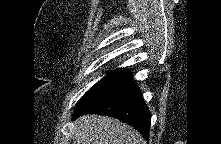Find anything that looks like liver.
<instances>
[{"mask_svg": "<svg viewBox=\"0 0 221 144\" xmlns=\"http://www.w3.org/2000/svg\"><path fill=\"white\" fill-rule=\"evenodd\" d=\"M72 135L74 144H145L132 127L101 115L79 117L74 122Z\"/></svg>", "mask_w": 221, "mask_h": 144, "instance_id": "liver-1", "label": "liver"}]
</instances>
